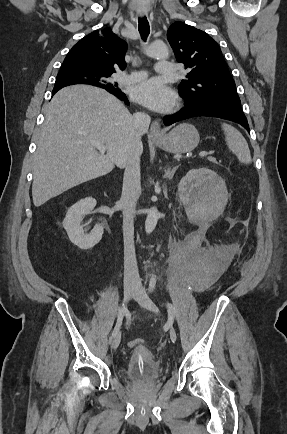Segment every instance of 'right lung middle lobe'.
I'll use <instances>...</instances> for the list:
<instances>
[{
    "instance_id": "right-lung-middle-lobe-1",
    "label": "right lung middle lobe",
    "mask_w": 287,
    "mask_h": 434,
    "mask_svg": "<svg viewBox=\"0 0 287 434\" xmlns=\"http://www.w3.org/2000/svg\"><path fill=\"white\" fill-rule=\"evenodd\" d=\"M110 74H101L88 70L80 69H61L57 75L55 84L73 83V84H89L98 86L107 91H120L117 83L110 81Z\"/></svg>"
}]
</instances>
